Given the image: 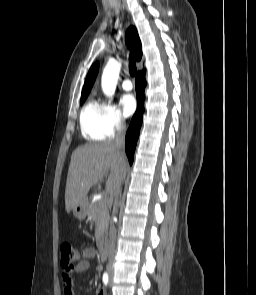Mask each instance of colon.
I'll list each match as a JSON object with an SVG mask.
<instances>
[{
	"label": "colon",
	"mask_w": 256,
	"mask_h": 295,
	"mask_svg": "<svg viewBox=\"0 0 256 295\" xmlns=\"http://www.w3.org/2000/svg\"><path fill=\"white\" fill-rule=\"evenodd\" d=\"M61 266L66 270H73L80 260L78 252L71 244L65 243L61 245Z\"/></svg>",
	"instance_id": "5ec220e1"
}]
</instances>
